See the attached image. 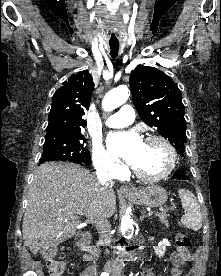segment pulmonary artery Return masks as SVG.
Wrapping results in <instances>:
<instances>
[{"label": "pulmonary artery", "instance_id": "1", "mask_svg": "<svg viewBox=\"0 0 221 276\" xmlns=\"http://www.w3.org/2000/svg\"><path fill=\"white\" fill-rule=\"evenodd\" d=\"M134 119V109L130 105H123L117 113L111 115L105 121V124L111 128H121L131 124Z\"/></svg>", "mask_w": 221, "mask_h": 276}]
</instances>
